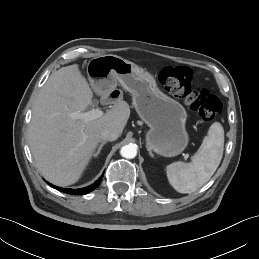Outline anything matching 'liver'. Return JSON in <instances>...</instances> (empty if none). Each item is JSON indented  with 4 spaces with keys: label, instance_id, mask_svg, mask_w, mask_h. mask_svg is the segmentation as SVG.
I'll return each mask as SVG.
<instances>
[{
    "label": "liver",
    "instance_id": "6515ba94",
    "mask_svg": "<svg viewBox=\"0 0 259 259\" xmlns=\"http://www.w3.org/2000/svg\"><path fill=\"white\" fill-rule=\"evenodd\" d=\"M93 92L78 64L53 72L41 88L32 109L28 135L32 156L43 177L58 186L77 182L101 142V133L120 135L130 109L119 101L97 119L84 123L71 117L92 105Z\"/></svg>",
    "mask_w": 259,
    "mask_h": 259
}]
</instances>
